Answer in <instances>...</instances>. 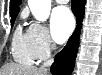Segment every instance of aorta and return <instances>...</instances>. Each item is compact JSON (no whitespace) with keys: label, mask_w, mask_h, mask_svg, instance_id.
<instances>
[{"label":"aorta","mask_w":102,"mask_h":75,"mask_svg":"<svg viewBox=\"0 0 102 75\" xmlns=\"http://www.w3.org/2000/svg\"><path fill=\"white\" fill-rule=\"evenodd\" d=\"M33 16L41 22L47 20L51 10V0H28Z\"/></svg>","instance_id":"1"}]
</instances>
